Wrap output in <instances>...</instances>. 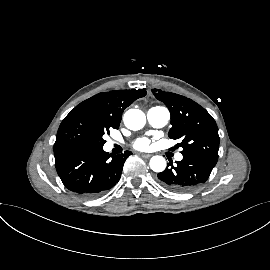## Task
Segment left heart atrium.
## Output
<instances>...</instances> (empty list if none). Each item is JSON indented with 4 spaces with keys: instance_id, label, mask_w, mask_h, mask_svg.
<instances>
[{
    "instance_id": "obj_1",
    "label": "left heart atrium",
    "mask_w": 270,
    "mask_h": 270,
    "mask_svg": "<svg viewBox=\"0 0 270 270\" xmlns=\"http://www.w3.org/2000/svg\"><path fill=\"white\" fill-rule=\"evenodd\" d=\"M133 147L141 151L148 150L150 147V141L147 138H139L134 142Z\"/></svg>"
}]
</instances>
